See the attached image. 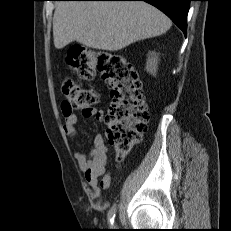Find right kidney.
I'll return each instance as SVG.
<instances>
[{"mask_svg":"<svg viewBox=\"0 0 231 231\" xmlns=\"http://www.w3.org/2000/svg\"><path fill=\"white\" fill-rule=\"evenodd\" d=\"M158 61V54H156L155 52H150L146 63L147 72L152 75H156Z\"/></svg>","mask_w":231,"mask_h":231,"instance_id":"1","label":"right kidney"}]
</instances>
